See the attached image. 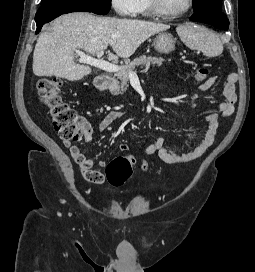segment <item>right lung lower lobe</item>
Instances as JSON below:
<instances>
[{
	"instance_id": "1",
	"label": "right lung lower lobe",
	"mask_w": 255,
	"mask_h": 272,
	"mask_svg": "<svg viewBox=\"0 0 255 272\" xmlns=\"http://www.w3.org/2000/svg\"><path fill=\"white\" fill-rule=\"evenodd\" d=\"M71 12H89L85 9L82 8H77V7H66V6H41L35 17V21L37 24V30L36 33H38L42 26L55 19L56 17L66 14V13H71Z\"/></svg>"
}]
</instances>
